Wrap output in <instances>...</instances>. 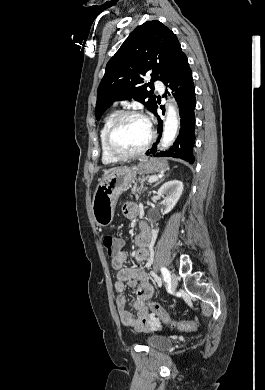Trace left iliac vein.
Segmentation results:
<instances>
[{
	"label": "left iliac vein",
	"instance_id": "4c4485c4",
	"mask_svg": "<svg viewBox=\"0 0 265 390\" xmlns=\"http://www.w3.org/2000/svg\"><path fill=\"white\" fill-rule=\"evenodd\" d=\"M177 284H178V278L176 276V274L172 273L171 276H170V286L173 290L176 289L177 287Z\"/></svg>",
	"mask_w": 265,
	"mask_h": 390
}]
</instances>
